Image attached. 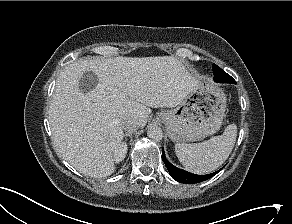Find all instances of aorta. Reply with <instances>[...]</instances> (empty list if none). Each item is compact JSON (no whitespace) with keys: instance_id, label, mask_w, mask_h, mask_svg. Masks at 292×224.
I'll use <instances>...</instances> for the list:
<instances>
[{"instance_id":"762f6f07","label":"aorta","mask_w":292,"mask_h":224,"mask_svg":"<svg viewBox=\"0 0 292 224\" xmlns=\"http://www.w3.org/2000/svg\"><path fill=\"white\" fill-rule=\"evenodd\" d=\"M147 135L154 141H160L163 137V132L160 127L153 125L148 128Z\"/></svg>"}]
</instances>
